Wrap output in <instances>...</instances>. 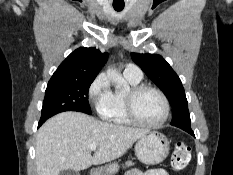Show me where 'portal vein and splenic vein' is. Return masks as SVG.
I'll return each mask as SVG.
<instances>
[{
  "label": "portal vein and splenic vein",
  "instance_id": "1",
  "mask_svg": "<svg viewBox=\"0 0 233 175\" xmlns=\"http://www.w3.org/2000/svg\"><path fill=\"white\" fill-rule=\"evenodd\" d=\"M97 149V145H95V144H92V145H90L89 147H88V150L89 151H94V150H96Z\"/></svg>",
  "mask_w": 233,
  "mask_h": 175
}]
</instances>
